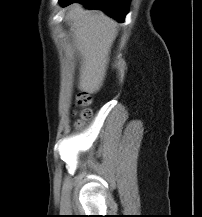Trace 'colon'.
<instances>
[{
    "mask_svg": "<svg viewBox=\"0 0 202 217\" xmlns=\"http://www.w3.org/2000/svg\"><path fill=\"white\" fill-rule=\"evenodd\" d=\"M91 101V96L87 93H79L77 95L76 106L79 108L77 112L78 120L76 121L77 127H82L85 121L91 117V111L89 109Z\"/></svg>",
    "mask_w": 202,
    "mask_h": 217,
    "instance_id": "obj_1",
    "label": "colon"
}]
</instances>
